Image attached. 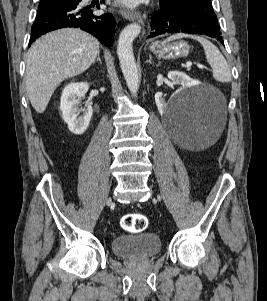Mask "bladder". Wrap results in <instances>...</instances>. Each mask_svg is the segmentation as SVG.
Returning <instances> with one entry per match:
<instances>
[{
    "mask_svg": "<svg viewBox=\"0 0 267 301\" xmlns=\"http://www.w3.org/2000/svg\"><path fill=\"white\" fill-rule=\"evenodd\" d=\"M112 252L122 258L142 259L158 255L162 250L160 237L151 232L118 235L111 240Z\"/></svg>",
    "mask_w": 267,
    "mask_h": 301,
    "instance_id": "obj_1",
    "label": "bladder"
}]
</instances>
